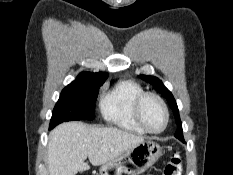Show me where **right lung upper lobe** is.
Masks as SVG:
<instances>
[{"label":"right lung upper lobe","mask_w":233,"mask_h":175,"mask_svg":"<svg viewBox=\"0 0 233 175\" xmlns=\"http://www.w3.org/2000/svg\"><path fill=\"white\" fill-rule=\"evenodd\" d=\"M107 77H108V73H104V72H98V73L82 72L72 83L94 81V80H106Z\"/></svg>","instance_id":"1"}]
</instances>
